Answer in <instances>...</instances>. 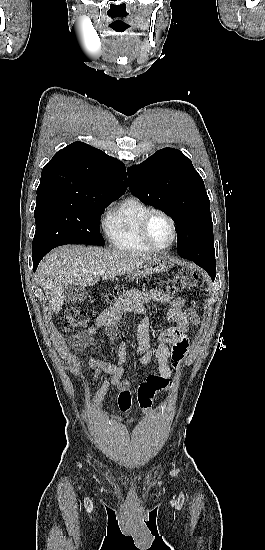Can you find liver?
Wrapping results in <instances>:
<instances>
[{
  "mask_svg": "<svg viewBox=\"0 0 265 550\" xmlns=\"http://www.w3.org/2000/svg\"><path fill=\"white\" fill-rule=\"evenodd\" d=\"M149 255L107 251L100 247L62 246L45 256L38 267L41 287L58 313L69 285L92 286L103 279L132 273ZM104 272L100 275L99 272Z\"/></svg>",
  "mask_w": 265,
  "mask_h": 550,
  "instance_id": "obj_1",
  "label": "liver"
}]
</instances>
